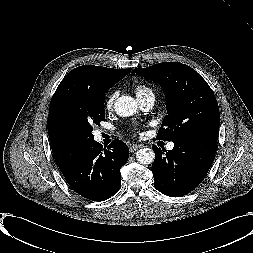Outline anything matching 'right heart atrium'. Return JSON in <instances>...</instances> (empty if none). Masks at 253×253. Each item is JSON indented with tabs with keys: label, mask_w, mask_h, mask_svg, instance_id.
Wrapping results in <instances>:
<instances>
[{
	"label": "right heart atrium",
	"mask_w": 253,
	"mask_h": 253,
	"mask_svg": "<svg viewBox=\"0 0 253 253\" xmlns=\"http://www.w3.org/2000/svg\"><path fill=\"white\" fill-rule=\"evenodd\" d=\"M118 96V92L117 91H113L111 92L105 99V107L107 109H111L114 105V102L116 100Z\"/></svg>",
	"instance_id": "obj_1"
}]
</instances>
